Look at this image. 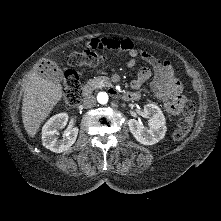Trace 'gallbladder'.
Here are the masks:
<instances>
[{
	"instance_id": "bac80fb5",
	"label": "gallbladder",
	"mask_w": 221,
	"mask_h": 221,
	"mask_svg": "<svg viewBox=\"0 0 221 221\" xmlns=\"http://www.w3.org/2000/svg\"><path fill=\"white\" fill-rule=\"evenodd\" d=\"M38 76L42 79L52 82H62L64 80L63 71L54 63L50 66V69L39 68L37 72Z\"/></svg>"
}]
</instances>
